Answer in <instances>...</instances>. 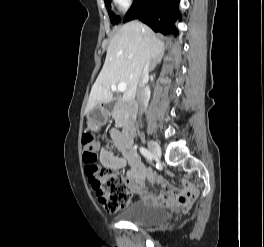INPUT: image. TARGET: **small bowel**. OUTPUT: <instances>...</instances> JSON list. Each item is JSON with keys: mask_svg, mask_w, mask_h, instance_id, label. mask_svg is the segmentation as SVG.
<instances>
[{"mask_svg": "<svg viewBox=\"0 0 264 247\" xmlns=\"http://www.w3.org/2000/svg\"><path fill=\"white\" fill-rule=\"evenodd\" d=\"M112 137L121 152V157L116 156L112 151L102 148L100 151V162L108 169H121L129 167V172L126 175V181L130 185L133 192L139 194L144 200H156L163 204H183L189 206L194 200L197 188L192 183L184 182L182 190L178 191L172 187L169 182L162 176H152V171L145 166L137 155L131 138L120 133L117 130H112ZM145 177L152 179V184L160 185L162 192L158 196H149L146 194L145 187L142 181Z\"/></svg>", "mask_w": 264, "mask_h": 247, "instance_id": "small-bowel-1", "label": "small bowel"}]
</instances>
